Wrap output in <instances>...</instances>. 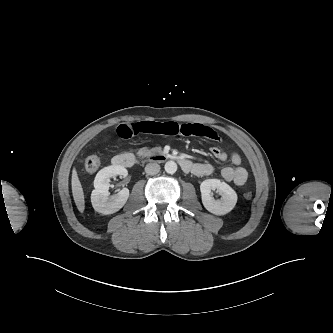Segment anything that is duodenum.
Returning <instances> with one entry per match:
<instances>
[{
    "label": "duodenum",
    "mask_w": 333,
    "mask_h": 333,
    "mask_svg": "<svg viewBox=\"0 0 333 333\" xmlns=\"http://www.w3.org/2000/svg\"><path fill=\"white\" fill-rule=\"evenodd\" d=\"M145 156L142 154L139 159H143ZM156 159L159 160H175L179 163L181 169L186 172V173H190L192 172L193 168H194V164L181 156H164V155H157L155 157ZM137 161V158L132 155L131 153H123L120 155H117L116 157H114L113 162L115 165L118 166H123V167H132Z\"/></svg>",
    "instance_id": "1"
}]
</instances>
